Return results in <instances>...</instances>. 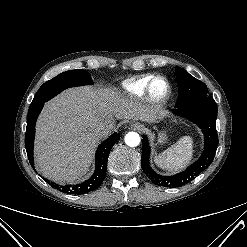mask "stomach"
<instances>
[{"instance_id": "stomach-1", "label": "stomach", "mask_w": 247, "mask_h": 247, "mask_svg": "<svg viewBox=\"0 0 247 247\" xmlns=\"http://www.w3.org/2000/svg\"><path fill=\"white\" fill-rule=\"evenodd\" d=\"M167 135L164 131H160L155 139V145H163L167 142Z\"/></svg>"}]
</instances>
